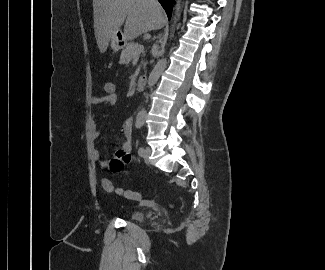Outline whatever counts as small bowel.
I'll list each match as a JSON object with an SVG mask.
<instances>
[{
    "instance_id": "obj_1",
    "label": "small bowel",
    "mask_w": 325,
    "mask_h": 270,
    "mask_svg": "<svg viewBox=\"0 0 325 270\" xmlns=\"http://www.w3.org/2000/svg\"><path fill=\"white\" fill-rule=\"evenodd\" d=\"M105 85V84H104ZM118 96H106L105 93L102 96H93L90 99V103L93 106H108L113 107L117 104ZM132 118H128L124 121L121 126V133L123 135V141L121 146L116 151V155L110 161V170L112 172H120L123 170L125 165L130 161V153L132 151ZM91 138L97 140L100 137V132L97 129L96 121L93 118L90 124ZM93 159L100 165V167L105 168L108 166V161L101 158L100 152L97 148L92 150Z\"/></svg>"
}]
</instances>
